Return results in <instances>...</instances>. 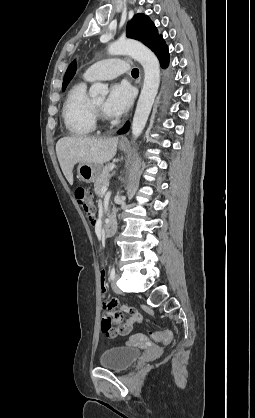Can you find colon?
Here are the masks:
<instances>
[{"mask_svg":"<svg viewBox=\"0 0 255 418\" xmlns=\"http://www.w3.org/2000/svg\"><path fill=\"white\" fill-rule=\"evenodd\" d=\"M75 198L78 204L80 205V207L85 212L89 221L92 224H94L95 223V211H94V205L91 200L89 191L84 186H78L75 189ZM152 337L156 341H159L163 344H168L172 339V335L169 331H160V332L154 333L152 334Z\"/></svg>","mask_w":255,"mask_h":418,"instance_id":"1","label":"colon"}]
</instances>
